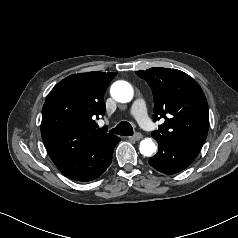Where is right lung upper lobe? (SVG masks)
<instances>
[{"label":"right lung upper lobe","instance_id":"1","mask_svg":"<svg viewBox=\"0 0 238 238\" xmlns=\"http://www.w3.org/2000/svg\"><path fill=\"white\" fill-rule=\"evenodd\" d=\"M117 72L73 74L49 93L42 108L41 135L59 171L76 179L93 171L119 138L95 128L104 115V93Z\"/></svg>","mask_w":238,"mask_h":238}]
</instances>
